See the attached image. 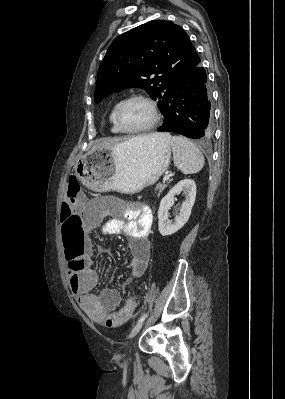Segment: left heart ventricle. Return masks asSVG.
<instances>
[{
	"label": "left heart ventricle",
	"instance_id": "left-heart-ventricle-1",
	"mask_svg": "<svg viewBox=\"0 0 285 399\" xmlns=\"http://www.w3.org/2000/svg\"><path fill=\"white\" fill-rule=\"evenodd\" d=\"M153 118L151 107L142 100L129 102L122 110L121 119L128 128H138L148 124Z\"/></svg>",
	"mask_w": 285,
	"mask_h": 399
}]
</instances>
